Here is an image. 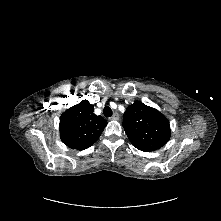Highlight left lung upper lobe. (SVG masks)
Here are the masks:
<instances>
[{
  "label": "left lung upper lobe",
  "instance_id": "1",
  "mask_svg": "<svg viewBox=\"0 0 221 221\" xmlns=\"http://www.w3.org/2000/svg\"><path fill=\"white\" fill-rule=\"evenodd\" d=\"M123 127L131 143L144 152L161 148L169 141L171 134L168 119L139 101L127 107Z\"/></svg>",
  "mask_w": 221,
  "mask_h": 221
}]
</instances>
